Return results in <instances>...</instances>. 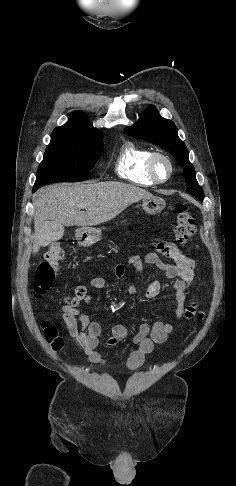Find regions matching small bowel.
<instances>
[{
	"label": "small bowel",
	"mask_w": 236,
	"mask_h": 486,
	"mask_svg": "<svg viewBox=\"0 0 236 486\" xmlns=\"http://www.w3.org/2000/svg\"><path fill=\"white\" fill-rule=\"evenodd\" d=\"M157 252L148 253L144 260L140 256L129 258V264L139 273V286H129L128 292L134 297H145L154 299L161 293V283L156 277L146 278L144 273V263L154 266L161 270L168 278L175 279L173 284L175 307L172 313L177 319L185 318L187 320H201L203 315L198 312L197 304L194 301L185 305L186 288L194 278V261L176 244L158 240L156 242ZM158 253L170 258L172 262L165 263L161 261ZM125 275V267L118 265L115 268V277L122 278ZM90 288L102 289L106 286V281L102 277H94L88 283ZM62 317L74 341L79 345L90 361L96 364H102L105 360L97 351L99 345V336L102 327L99 322L93 320L90 315L74 309L70 305L62 306ZM173 326L171 320L156 321L152 325L143 323L140 325L138 332L132 337V342L137 348L132 351L127 359V367L131 370L140 368L156 344L164 343L171 334ZM129 337L128 329L122 324H115L111 327V337L107 343L110 346L115 345L118 341L125 340Z\"/></svg>",
	"instance_id": "c3829d8e"
}]
</instances>
